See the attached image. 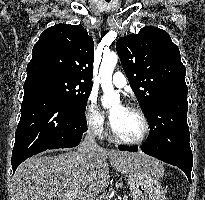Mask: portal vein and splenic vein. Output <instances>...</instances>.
I'll list each match as a JSON object with an SVG mask.
<instances>
[{
    "label": "portal vein and splenic vein",
    "mask_w": 205,
    "mask_h": 200,
    "mask_svg": "<svg viewBox=\"0 0 205 200\" xmlns=\"http://www.w3.org/2000/svg\"><path fill=\"white\" fill-rule=\"evenodd\" d=\"M72 195L73 194H71V193L66 194L67 197H71Z\"/></svg>",
    "instance_id": "1"
}]
</instances>
